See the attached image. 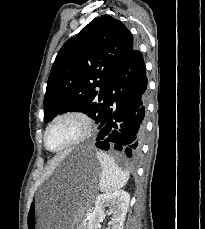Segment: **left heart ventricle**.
<instances>
[{
    "instance_id": "left-heart-ventricle-1",
    "label": "left heart ventricle",
    "mask_w": 205,
    "mask_h": 229,
    "mask_svg": "<svg viewBox=\"0 0 205 229\" xmlns=\"http://www.w3.org/2000/svg\"><path fill=\"white\" fill-rule=\"evenodd\" d=\"M80 130V125L76 120H61L49 130L47 144L51 149L62 147L76 138L80 133Z\"/></svg>"
}]
</instances>
